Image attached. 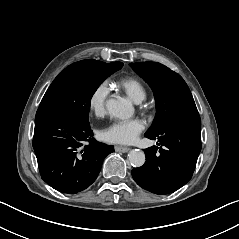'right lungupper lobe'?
<instances>
[{
  "instance_id": "1",
  "label": "right lung upper lobe",
  "mask_w": 239,
  "mask_h": 239,
  "mask_svg": "<svg viewBox=\"0 0 239 239\" xmlns=\"http://www.w3.org/2000/svg\"><path fill=\"white\" fill-rule=\"evenodd\" d=\"M112 64L117 65V66H121V67L123 66V63H121V62H113Z\"/></svg>"
}]
</instances>
